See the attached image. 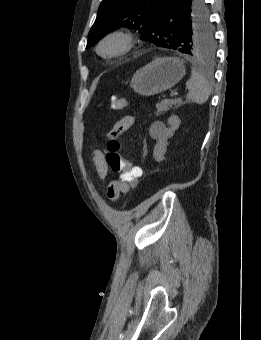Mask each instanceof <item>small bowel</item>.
Segmentation results:
<instances>
[{"label": "small bowel", "instance_id": "small-bowel-1", "mask_svg": "<svg viewBox=\"0 0 261 340\" xmlns=\"http://www.w3.org/2000/svg\"><path fill=\"white\" fill-rule=\"evenodd\" d=\"M135 122V117L132 115H125L119 119L110 131L109 136L112 138L121 136L127 132ZM91 163L101 181L105 180L109 171V166L106 162L105 155L100 150H94L91 154ZM130 186L122 179L113 180L108 183L106 187L107 196L111 201H117L122 194L127 193Z\"/></svg>", "mask_w": 261, "mask_h": 340}]
</instances>
